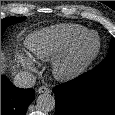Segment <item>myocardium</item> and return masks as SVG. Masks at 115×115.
I'll use <instances>...</instances> for the list:
<instances>
[{"mask_svg":"<svg viewBox=\"0 0 115 115\" xmlns=\"http://www.w3.org/2000/svg\"><path fill=\"white\" fill-rule=\"evenodd\" d=\"M90 37L96 40L95 47L88 52L82 51V45ZM101 39L96 32L87 31L78 37L54 64V74L59 79H70L80 74L99 55Z\"/></svg>","mask_w":115,"mask_h":115,"instance_id":"myocardium-1","label":"myocardium"}]
</instances>
